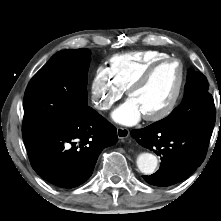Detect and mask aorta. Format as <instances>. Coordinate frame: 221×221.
I'll return each mask as SVG.
<instances>
[{
	"label": "aorta",
	"mask_w": 221,
	"mask_h": 221,
	"mask_svg": "<svg viewBox=\"0 0 221 221\" xmlns=\"http://www.w3.org/2000/svg\"><path fill=\"white\" fill-rule=\"evenodd\" d=\"M136 163L142 173L152 174L158 165V159L151 153H141L137 157Z\"/></svg>",
	"instance_id": "762f6f07"
}]
</instances>
